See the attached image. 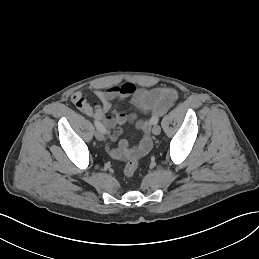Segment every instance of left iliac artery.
<instances>
[{"label": "left iliac artery", "instance_id": "left-iliac-artery-1", "mask_svg": "<svg viewBox=\"0 0 259 259\" xmlns=\"http://www.w3.org/2000/svg\"><path fill=\"white\" fill-rule=\"evenodd\" d=\"M158 121H159V118L156 117V118H154L153 123L156 124V123H158Z\"/></svg>", "mask_w": 259, "mask_h": 259}]
</instances>
